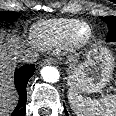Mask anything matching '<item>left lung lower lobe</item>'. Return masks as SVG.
Segmentation results:
<instances>
[{
  "mask_svg": "<svg viewBox=\"0 0 116 116\" xmlns=\"http://www.w3.org/2000/svg\"><path fill=\"white\" fill-rule=\"evenodd\" d=\"M64 109H65L66 116H69L68 113H67V111H66L65 105H64Z\"/></svg>",
  "mask_w": 116,
  "mask_h": 116,
  "instance_id": "1",
  "label": "left lung lower lobe"
}]
</instances>
